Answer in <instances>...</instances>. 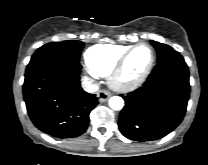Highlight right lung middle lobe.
<instances>
[{"label": "right lung middle lobe", "mask_w": 208, "mask_h": 165, "mask_svg": "<svg viewBox=\"0 0 208 165\" xmlns=\"http://www.w3.org/2000/svg\"><path fill=\"white\" fill-rule=\"evenodd\" d=\"M83 46L84 43L77 40L51 42L37 49V51L31 57L30 63L54 54H65L68 57L79 61L80 52Z\"/></svg>", "instance_id": "obj_1"}]
</instances>
